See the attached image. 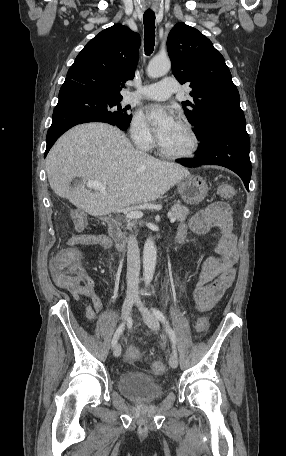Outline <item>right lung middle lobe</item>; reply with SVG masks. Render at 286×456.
<instances>
[{
  "mask_svg": "<svg viewBox=\"0 0 286 456\" xmlns=\"http://www.w3.org/2000/svg\"><path fill=\"white\" fill-rule=\"evenodd\" d=\"M120 100L101 99L93 109L95 121L116 125L121 130H126L131 122L132 114L128 112L130 106L122 108Z\"/></svg>",
  "mask_w": 286,
  "mask_h": 456,
  "instance_id": "right-lung-middle-lobe-1",
  "label": "right lung middle lobe"
}]
</instances>
